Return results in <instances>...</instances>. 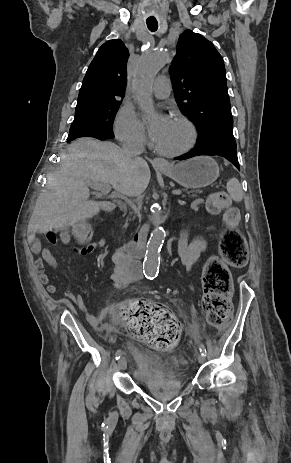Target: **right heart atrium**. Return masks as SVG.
I'll return each instance as SVG.
<instances>
[{
  "label": "right heart atrium",
  "mask_w": 291,
  "mask_h": 463,
  "mask_svg": "<svg viewBox=\"0 0 291 463\" xmlns=\"http://www.w3.org/2000/svg\"><path fill=\"white\" fill-rule=\"evenodd\" d=\"M115 134L125 144L143 145L146 143L145 129L141 120L127 106L121 107L116 116Z\"/></svg>",
  "instance_id": "1"
}]
</instances>
